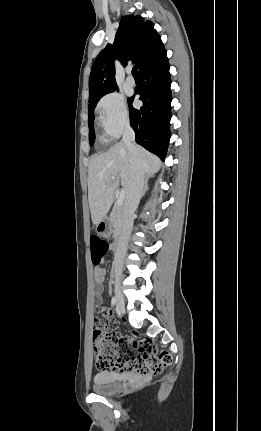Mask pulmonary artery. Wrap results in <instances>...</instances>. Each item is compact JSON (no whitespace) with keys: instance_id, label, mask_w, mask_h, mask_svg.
Listing matches in <instances>:
<instances>
[{"instance_id":"obj_1","label":"pulmonary artery","mask_w":261,"mask_h":431,"mask_svg":"<svg viewBox=\"0 0 261 431\" xmlns=\"http://www.w3.org/2000/svg\"><path fill=\"white\" fill-rule=\"evenodd\" d=\"M128 72L130 73V70ZM127 83L131 86L135 85V79L130 74L127 77Z\"/></svg>"}]
</instances>
